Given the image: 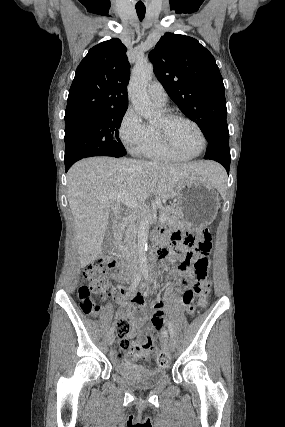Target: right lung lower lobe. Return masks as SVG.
Returning a JSON list of instances; mask_svg holds the SVG:
<instances>
[{
	"label": "right lung lower lobe",
	"instance_id": "right-lung-lower-lobe-1",
	"mask_svg": "<svg viewBox=\"0 0 285 427\" xmlns=\"http://www.w3.org/2000/svg\"><path fill=\"white\" fill-rule=\"evenodd\" d=\"M70 168V166H65L66 171Z\"/></svg>",
	"mask_w": 285,
	"mask_h": 427
}]
</instances>
